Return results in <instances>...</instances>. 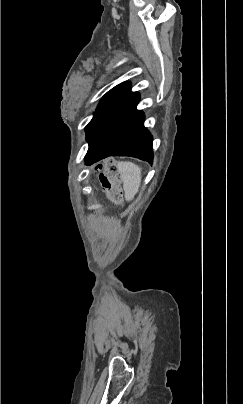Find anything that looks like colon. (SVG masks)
<instances>
[{"instance_id": "colon-1", "label": "colon", "mask_w": 243, "mask_h": 404, "mask_svg": "<svg viewBox=\"0 0 243 404\" xmlns=\"http://www.w3.org/2000/svg\"><path fill=\"white\" fill-rule=\"evenodd\" d=\"M100 178L108 197L112 201H119L121 198V178L117 166L110 164Z\"/></svg>"}]
</instances>
